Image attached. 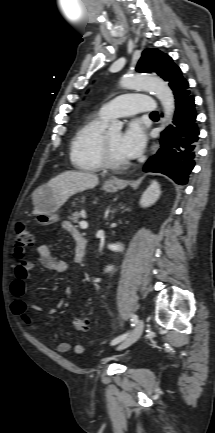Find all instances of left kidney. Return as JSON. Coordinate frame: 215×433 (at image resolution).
<instances>
[{"label": "left kidney", "instance_id": "left-kidney-1", "mask_svg": "<svg viewBox=\"0 0 215 433\" xmlns=\"http://www.w3.org/2000/svg\"><path fill=\"white\" fill-rule=\"evenodd\" d=\"M108 248L111 250V251H115V252H121V251H123V245L122 244H120V243H115V244H109L108 245ZM113 270V266H107L106 267V269H105V272H111Z\"/></svg>", "mask_w": 215, "mask_h": 433}]
</instances>
